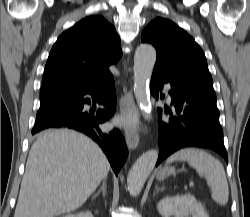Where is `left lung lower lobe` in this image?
Segmentation results:
<instances>
[{
	"mask_svg": "<svg viewBox=\"0 0 250 217\" xmlns=\"http://www.w3.org/2000/svg\"><path fill=\"white\" fill-rule=\"evenodd\" d=\"M164 83L171 85L169 94L172 107L164 108V112L170 115L169 119L159 116L160 152L156 166L172 153L186 147L212 149L228 163L213 86L174 82L153 73L151 94L158 98ZM158 111L162 112V109Z\"/></svg>",
	"mask_w": 250,
	"mask_h": 217,
	"instance_id": "0a47b994",
	"label": "left lung lower lobe"
}]
</instances>
